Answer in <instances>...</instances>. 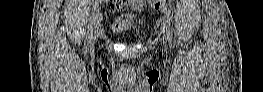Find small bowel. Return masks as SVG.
Returning <instances> with one entry per match:
<instances>
[{
  "label": "small bowel",
  "mask_w": 263,
  "mask_h": 92,
  "mask_svg": "<svg viewBox=\"0 0 263 92\" xmlns=\"http://www.w3.org/2000/svg\"><path fill=\"white\" fill-rule=\"evenodd\" d=\"M144 2L145 1H133V3H134V7L135 8H142L143 7V5H144ZM119 4H122V2H120Z\"/></svg>",
  "instance_id": "c3829d8e"
}]
</instances>
